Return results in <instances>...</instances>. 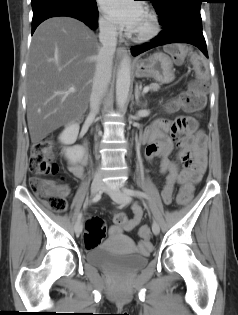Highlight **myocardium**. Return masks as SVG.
Instances as JSON below:
<instances>
[{"mask_svg":"<svg viewBox=\"0 0 238 315\" xmlns=\"http://www.w3.org/2000/svg\"><path fill=\"white\" fill-rule=\"evenodd\" d=\"M145 14L149 19L148 28L141 33H133L132 39L137 42H146L153 39L159 32L158 18L152 11H146Z\"/></svg>","mask_w":238,"mask_h":315,"instance_id":"myocardium-1","label":"myocardium"}]
</instances>
